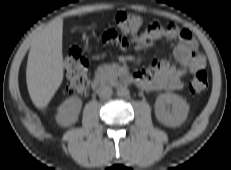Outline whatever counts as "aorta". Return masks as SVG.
Instances as JSON below:
<instances>
[{"label":"aorta","instance_id":"aorta-1","mask_svg":"<svg viewBox=\"0 0 231 170\" xmlns=\"http://www.w3.org/2000/svg\"><path fill=\"white\" fill-rule=\"evenodd\" d=\"M130 94V91L127 87L121 86L117 89V95L120 97H128Z\"/></svg>","mask_w":231,"mask_h":170}]
</instances>
